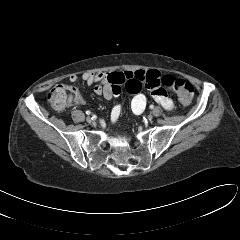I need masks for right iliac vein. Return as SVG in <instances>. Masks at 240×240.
<instances>
[{"label":"right iliac vein","instance_id":"right-iliac-vein-1","mask_svg":"<svg viewBox=\"0 0 240 240\" xmlns=\"http://www.w3.org/2000/svg\"><path fill=\"white\" fill-rule=\"evenodd\" d=\"M86 121H87L88 123H91V122H92V118H91L90 116H87Z\"/></svg>","mask_w":240,"mask_h":240}]
</instances>
